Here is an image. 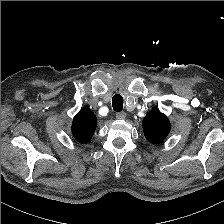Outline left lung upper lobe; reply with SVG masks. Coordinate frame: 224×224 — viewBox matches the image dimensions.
I'll use <instances>...</instances> for the list:
<instances>
[{
    "label": "left lung upper lobe",
    "instance_id": "obj_1",
    "mask_svg": "<svg viewBox=\"0 0 224 224\" xmlns=\"http://www.w3.org/2000/svg\"><path fill=\"white\" fill-rule=\"evenodd\" d=\"M170 122L158 109L151 110L143 119V131L146 139L158 144L169 134Z\"/></svg>",
    "mask_w": 224,
    "mask_h": 224
}]
</instances>
